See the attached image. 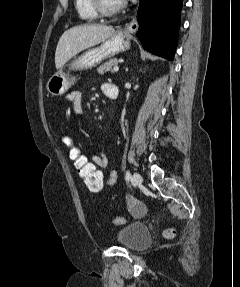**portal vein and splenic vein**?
Returning <instances> with one entry per match:
<instances>
[{"mask_svg":"<svg viewBox=\"0 0 240 287\" xmlns=\"http://www.w3.org/2000/svg\"><path fill=\"white\" fill-rule=\"evenodd\" d=\"M113 71H114V72H118V71H119V67H118L117 65L114 66Z\"/></svg>","mask_w":240,"mask_h":287,"instance_id":"18ae733b","label":"portal vein and splenic vein"}]
</instances>
